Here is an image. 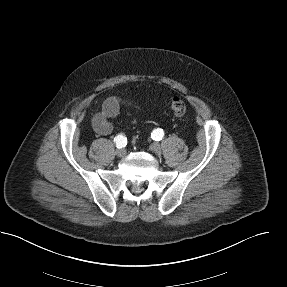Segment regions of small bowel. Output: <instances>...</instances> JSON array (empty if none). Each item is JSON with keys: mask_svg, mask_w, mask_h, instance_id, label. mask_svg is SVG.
<instances>
[{"mask_svg": "<svg viewBox=\"0 0 287 287\" xmlns=\"http://www.w3.org/2000/svg\"><path fill=\"white\" fill-rule=\"evenodd\" d=\"M130 101L123 100L119 97L107 98L102 108L92 118V126L94 131L99 135H108L113 131L114 125L112 120L115 119L122 106L132 105Z\"/></svg>", "mask_w": 287, "mask_h": 287, "instance_id": "1", "label": "small bowel"}]
</instances>
